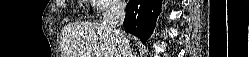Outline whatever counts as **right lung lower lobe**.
<instances>
[{"label":"right lung lower lobe","instance_id":"right-lung-lower-lobe-1","mask_svg":"<svg viewBox=\"0 0 249 57\" xmlns=\"http://www.w3.org/2000/svg\"><path fill=\"white\" fill-rule=\"evenodd\" d=\"M162 0H134L126 6L124 29L146 43L161 12Z\"/></svg>","mask_w":249,"mask_h":57}]
</instances>
